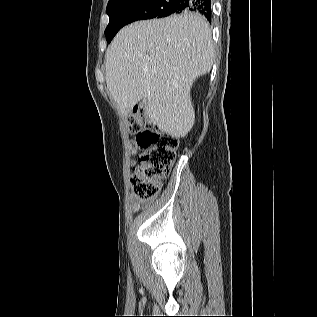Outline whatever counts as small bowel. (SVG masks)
I'll use <instances>...</instances> for the list:
<instances>
[{
  "label": "small bowel",
  "instance_id": "obj_1",
  "mask_svg": "<svg viewBox=\"0 0 317 317\" xmlns=\"http://www.w3.org/2000/svg\"><path fill=\"white\" fill-rule=\"evenodd\" d=\"M146 205H147L146 201H139L135 197L131 198V206L134 212L142 209Z\"/></svg>",
  "mask_w": 317,
  "mask_h": 317
}]
</instances>
